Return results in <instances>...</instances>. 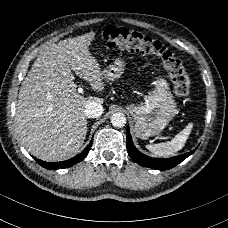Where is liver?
Returning a JSON list of instances; mask_svg holds the SVG:
<instances>
[{"instance_id":"obj_1","label":"liver","mask_w":228,"mask_h":228,"mask_svg":"<svg viewBox=\"0 0 228 228\" xmlns=\"http://www.w3.org/2000/svg\"><path fill=\"white\" fill-rule=\"evenodd\" d=\"M95 32L50 44L37 57L22 81L16 122L24 147L44 161H61L76 154L87 134L84 106L101 98L77 93L72 70L90 82L94 91L104 88L97 60L88 46Z\"/></svg>"}]
</instances>
